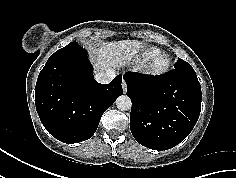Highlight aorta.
<instances>
[{"label":"aorta","instance_id":"obj_1","mask_svg":"<svg viewBox=\"0 0 236 178\" xmlns=\"http://www.w3.org/2000/svg\"><path fill=\"white\" fill-rule=\"evenodd\" d=\"M116 106L121 111L130 110L132 107L131 99L127 95H121L116 100Z\"/></svg>","mask_w":236,"mask_h":178}]
</instances>
